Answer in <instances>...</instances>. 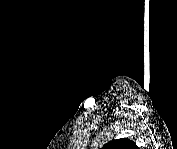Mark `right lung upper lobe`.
Returning a JSON list of instances; mask_svg holds the SVG:
<instances>
[{"instance_id": "obj_1", "label": "right lung upper lobe", "mask_w": 177, "mask_h": 149, "mask_svg": "<svg viewBox=\"0 0 177 149\" xmlns=\"http://www.w3.org/2000/svg\"><path fill=\"white\" fill-rule=\"evenodd\" d=\"M132 149L136 148L134 142L130 141L127 138L112 140L109 143L104 145V149Z\"/></svg>"}]
</instances>
